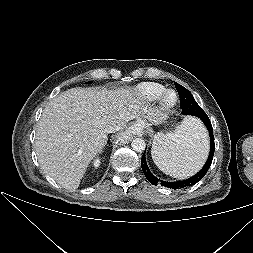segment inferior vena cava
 Segmentation results:
<instances>
[{
  "label": "inferior vena cava",
  "mask_w": 253,
  "mask_h": 253,
  "mask_svg": "<svg viewBox=\"0 0 253 253\" xmlns=\"http://www.w3.org/2000/svg\"><path fill=\"white\" fill-rule=\"evenodd\" d=\"M118 130H119L118 126L117 127H110V128H108L107 132L111 133L113 131H118Z\"/></svg>",
  "instance_id": "602c4592"
}]
</instances>
